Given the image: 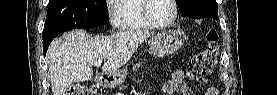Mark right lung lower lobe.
I'll list each match as a JSON object with an SVG mask.
<instances>
[{"label":"right lung lower lobe","instance_id":"obj_1","mask_svg":"<svg viewBox=\"0 0 277 95\" xmlns=\"http://www.w3.org/2000/svg\"><path fill=\"white\" fill-rule=\"evenodd\" d=\"M55 36H50V37H46V38H43V53H44V56L47 52V49L49 47V44L51 43V41L54 39Z\"/></svg>","mask_w":277,"mask_h":95}]
</instances>
